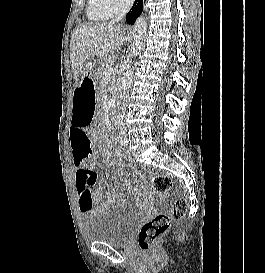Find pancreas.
Instances as JSON below:
<instances>
[{
	"instance_id": "pancreas-1",
	"label": "pancreas",
	"mask_w": 265,
	"mask_h": 273,
	"mask_svg": "<svg viewBox=\"0 0 265 273\" xmlns=\"http://www.w3.org/2000/svg\"><path fill=\"white\" fill-rule=\"evenodd\" d=\"M114 56L113 55H109L108 58H104V60L100 63V66L98 67L96 73H95V77L98 81V83L101 85L102 83H104V73L105 71L108 69V67H110L112 65V63H114Z\"/></svg>"
}]
</instances>
